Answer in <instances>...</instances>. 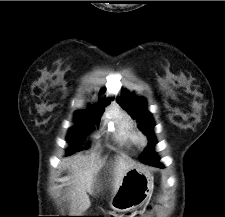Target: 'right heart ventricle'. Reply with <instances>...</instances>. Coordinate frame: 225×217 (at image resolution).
I'll list each match as a JSON object with an SVG mask.
<instances>
[{
	"label": "right heart ventricle",
	"instance_id": "right-heart-ventricle-1",
	"mask_svg": "<svg viewBox=\"0 0 225 217\" xmlns=\"http://www.w3.org/2000/svg\"><path fill=\"white\" fill-rule=\"evenodd\" d=\"M116 138L123 143H135L138 139L129 119L122 112H115Z\"/></svg>",
	"mask_w": 225,
	"mask_h": 217
}]
</instances>
